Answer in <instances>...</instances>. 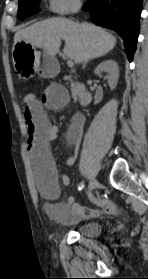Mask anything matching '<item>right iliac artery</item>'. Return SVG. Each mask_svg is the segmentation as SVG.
<instances>
[{"label": "right iliac artery", "instance_id": "right-iliac-artery-1", "mask_svg": "<svg viewBox=\"0 0 148 279\" xmlns=\"http://www.w3.org/2000/svg\"><path fill=\"white\" fill-rule=\"evenodd\" d=\"M83 188H84V182H81V183L78 185V190L81 191Z\"/></svg>", "mask_w": 148, "mask_h": 279}]
</instances>
